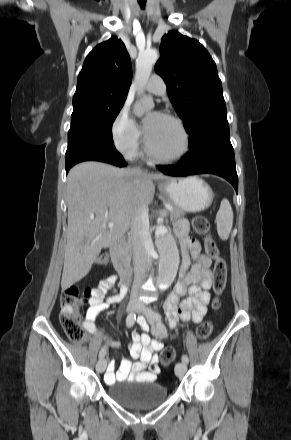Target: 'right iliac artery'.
<instances>
[{
  "instance_id": "82829eb1",
  "label": "right iliac artery",
  "mask_w": 291,
  "mask_h": 440,
  "mask_svg": "<svg viewBox=\"0 0 291 440\" xmlns=\"http://www.w3.org/2000/svg\"><path fill=\"white\" fill-rule=\"evenodd\" d=\"M136 320V315L134 313H130L127 318H126V326L127 327H131L134 325ZM106 354V346L102 347L100 353H99V358H103Z\"/></svg>"
}]
</instances>
